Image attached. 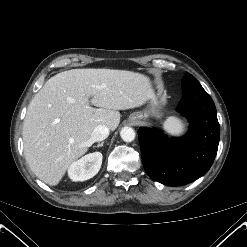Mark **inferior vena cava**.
<instances>
[{
    "instance_id": "obj_1",
    "label": "inferior vena cava",
    "mask_w": 247,
    "mask_h": 247,
    "mask_svg": "<svg viewBox=\"0 0 247 247\" xmlns=\"http://www.w3.org/2000/svg\"><path fill=\"white\" fill-rule=\"evenodd\" d=\"M109 128L106 125H98L91 134V141L98 142L106 139L109 135Z\"/></svg>"
}]
</instances>
